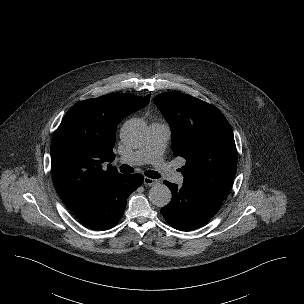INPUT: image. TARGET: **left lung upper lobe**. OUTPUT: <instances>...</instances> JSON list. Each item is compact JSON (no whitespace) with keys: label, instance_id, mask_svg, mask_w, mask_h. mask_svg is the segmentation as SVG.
I'll list each match as a JSON object with an SVG mask.
<instances>
[{"label":"left lung upper lobe","instance_id":"1","mask_svg":"<svg viewBox=\"0 0 304 304\" xmlns=\"http://www.w3.org/2000/svg\"><path fill=\"white\" fill-rule=\"evenodd\" d=\"M153 101L170 124L175 155L186 159L183 185L225 200L237 169L227 119L215 106L183 93H162Z\"/></svg>","mask_w":304,"mask_h":304}]
</instances>
